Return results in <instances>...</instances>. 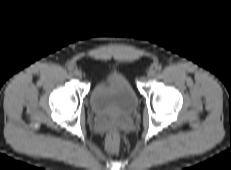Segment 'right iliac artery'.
<instances>
[{
    "mask_svg": "<svg viewBox=\"0 0 231 170\" xmlns=\"http://www.w3.org/2000/svg\"><path fill=\"white\" fill-rule=\"evenodd\" d=\"M68 70L71 72V71H73V66H68Z\"/></svg>",
    "mask_w": 231,
    "mask_h": 170,
    "instance_id": "right-iliac-artery-1",
    "label": "right iliac artery"
}]
</instances>
